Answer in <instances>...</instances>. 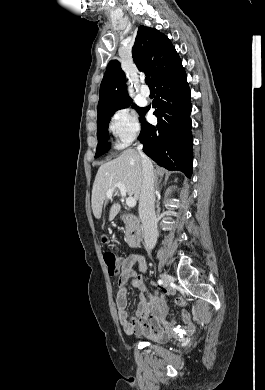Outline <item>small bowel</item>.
<instances>
[{
    "instance_id": "1",
    "label": "small bowel",
    "mask_w": 265,
    "mask_h": 390,
    "mask_svg": "<svg viewBox=\"0 0 265 390\" xmlns=\"http://www.w3.org/2000/svg\"><path fill=\"white\" fill-rule=\"evenodd\" d=\"M135 265L138 266V270L135 269ZM120 267L115 305L123 331L127 334H145L157 341L166 340L170 332V326L166 320L168 308L163 293L150 294L145 286L143 278L147 268L145 258L139 254H130L120 260ZM129 284L141 293L136 315L132 319L128 318L126 311ZM181 316L184 323L183 330L191 333L194 330V324L188 312L182 311Z\"/></svg>"
}]
</instances>
